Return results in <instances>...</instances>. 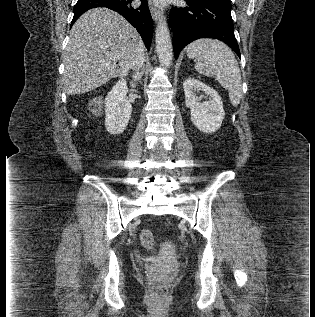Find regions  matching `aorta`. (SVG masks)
Segmentation results:
<instances>
[{"mask_svg": "<svg viewBox=\"0 0 315 317\" xmlns=\"http://www.w3.org/2000/svg\"><path fill=\"white\" fill-rule=\"evenodd\" d=\"M155 41L160 64L163 67H170L173 59V49L167 22L163 16L157 24Z\"/></svg>", "mask_w": 315, "mask_h": 317, "instance_id": "obj_1", "label": "aorta"}]
</instances>
